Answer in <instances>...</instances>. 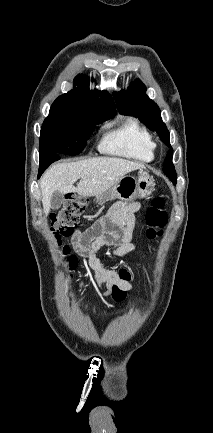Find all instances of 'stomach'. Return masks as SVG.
Listing matches in <instances>:
<instances>
[{"label": "stomach", "mask_w": 213, "mask_h": 433, "mask_svg": "<svg viewBox=\"0 0 213 433\" xmlns=\"http://www.w3.org/2000/svg\"><path fill=\"white\" fill-rule=\"evenodd\" d=\"M154 179L147 173L142 172L138 177L123 176L113 187L96 196L97 202H105L119 199L123 202H131L137 198H146L154 191Z\"/></svg>", "instance_id": "stomach-1"}]
</instances>
